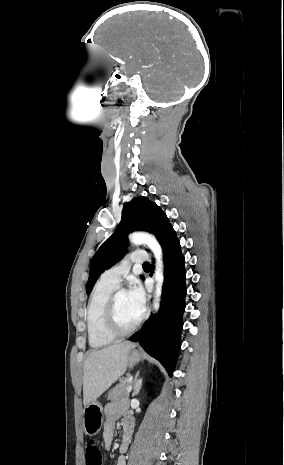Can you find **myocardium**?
<instances>
[{
	"label": "myocardium",
	"instance_id": "1",
	"mask_svg": "<svg viewBox=\"0 0 284 465\" xmlns=\"http://www.w3.org/2000/svg\"><path fill=\"white\" fill-rule=\"evenodd\" d=\"M121 291H117L111 294L108 300L107 304V309H106V314H105V321H104V327L105 331L107 334H109L111 337L114 339H124L132 336L139 326L141 325L143 319H144V314H141L139 320L136 322V324L129 329L128 331H120L117 325L118 322V314H117V296Z\"/></svg>",
	"mask_w": 284,
	"mask_h": 465
}]
</instances>
